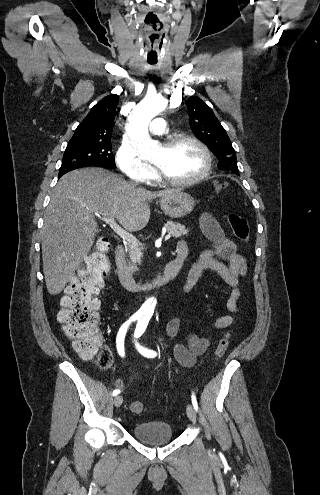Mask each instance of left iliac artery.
Here are the masks:
<instances>
[{
    "mask_svg": "<svg viewBox=\"0 0 320 495\" xmlns=\"http://www.w3.org/2000/svg\"><path fill=\"white\" fill-rule=\"evenodd\" d=\"M148 322H149V319L143 318L137 323V327H136V330L134 333L135 338L140 337L145 332L147 325H148ZM136 346L138 348V351L145 357L153 358L157 355L156 351H154V350L144 348L138 344ZM191 398H192L193 406H194L195 410L197 411L198 410V404H197V400H196L195 395L192 394Z\"/></svg>",
    "mask_w": 320,
    "mask_h": 495,
    "instance_id": "1",
    "label": "left iliac artery"
}]
</instances>
